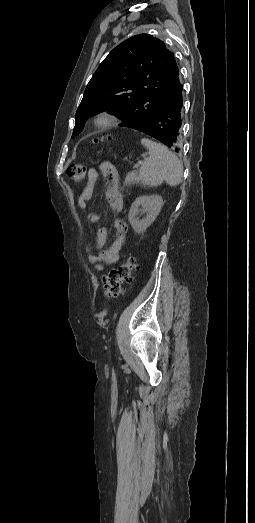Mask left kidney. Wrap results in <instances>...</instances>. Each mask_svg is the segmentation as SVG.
<instances>
[{
  "mask_svg": "<svg viewBox=\"0 0 255 523\" xmlns=\"http://www.w3.org/2000/svg\"><path fill=\"white\" fill-rule=\"evenodd\" d=\"M163 204L164 202L161 196H139V198H136L130 208L128 216V220L133 230H135L137 234H143L146 228H149L150 224H152L155 218H157ZM139 206H142L143 212H146L147 214L146 218H143V220H136L135 218L138 212H140Z\"/></svg>",
  "mask_w": 255,
  "mask_h": 523,
  "instance_id": "obj_1",
  "label": "left kidney"
}]
</instances>
